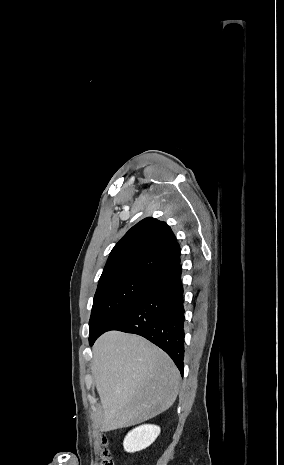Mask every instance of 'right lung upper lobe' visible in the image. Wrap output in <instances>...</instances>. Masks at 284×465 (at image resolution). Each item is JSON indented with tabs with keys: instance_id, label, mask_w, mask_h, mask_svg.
I'll list each match as a JSON object with an SVG mask.
<instances>
[{
	"instance_id": "obj_1",
	"label": "right lung upper lobe",
	"mask_w": 284,
	"mask_h": 465,
	"mask_svg": "<svg viewBox=\"0 0 284 465\" xmlns=\"http://www.w3.org/2000/svg\"><path fill=\"white\" fill-rule=\"evenodd\" d=\"M179 264L180 246L171 228L148 217L114 246L99 281L124 275L155 279Z\"/></svg>"
}]
</instances>
